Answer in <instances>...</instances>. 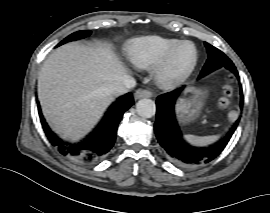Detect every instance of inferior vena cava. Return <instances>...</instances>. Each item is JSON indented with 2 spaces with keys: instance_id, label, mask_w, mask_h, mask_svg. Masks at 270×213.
I'll list each match as a JSON object with an SVG mask.
<instances>
[{
  "instance_id": "obj_1",
  "label": "inferior vena cava",
  "mask_w": 270,
  "mask_h": 213,
  "mask_svg": "<svg viewBox=\"0 0 270 213\" xmlns=\"http://www.w3.org/2000/svg\"><path fill=\"white\" fill-rule=\"evenodd\" d=\"M136 86V81L130 76H124L116 82L111 88V94L119 96L129 92L130 89Z\"/></svg>"
}]
</instances>
